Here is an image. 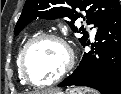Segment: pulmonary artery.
I'll return each mask as SVG.
<instances>
[{
	"mask_svg": "<svg viewBox=\"0 0 121 94\" xmlns=\"http://www.w3.org/2000/svg\"><path fill=\"white\" fill-rule=\"evenodd\" d=\"M96 31H97V29H96V27H93V29H92V36H95V34H96Z\"/></svg>",
	"mask_w": 121,
	"mask_h": 94,
	"instance_id": "1",
	"label": "pulmonary artery"
}]
</instances>
